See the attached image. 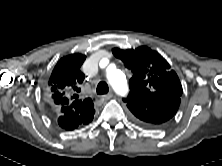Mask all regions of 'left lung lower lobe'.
Wrapping results in <instances>:
<instances>
[{
  "mask_svg": "<svg viewBox=\"0 0 222 166\" xmlns=\"http://www.w3.org/2000/svg\"><path fill=\"white\" fill-rule=\"evenodd\" d=\"M180 96L160 95L155 100L143 96H131L127 107L132 112V120L146 128H156L169 121L177 112Z\"/></svg>",
  "mask_w": 222,
  "mask_h": 166,
  "instance_id": "obj_1",
  "label": "left lung lower lobe"
}]
</instances>
